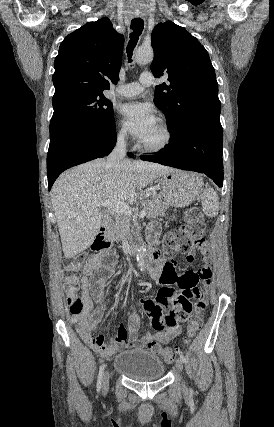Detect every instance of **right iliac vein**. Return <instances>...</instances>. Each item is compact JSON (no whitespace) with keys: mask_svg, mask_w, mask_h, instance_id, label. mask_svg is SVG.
Returning a JSON list of instances; mask_svg holds the SVG:
<instances>
[{"mask_svg":"<svg viewBox=\"0 0 274 427\" xmlns=\"http://www.w3.org/2000/svg\"><path fill=\"white\" fill-rule=\"evenodd\" d=\"M110 377H111L110 372L107 370L104 374L103 381H102V390L104 393H106L108 390Z\"/></svg>","mask_w":274,"mask_h":427,"instance_id":"63e3f726","label":"right iliac vein"}]
</instances>
